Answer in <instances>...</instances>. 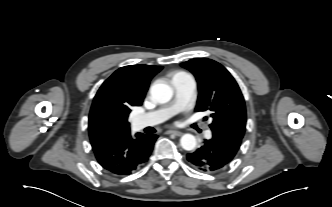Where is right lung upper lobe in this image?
I'll return each mask as SVG.
<instances>
[{
  "instance_id": "1",
  "label": "right lung upper lobe",
  "mask_w": 332,
  "mask_h": 207,
  "mask_svg": "<svg viewBox=\"0 0 332 207\" xmlns=\"http://www.w3.org/2000/svg\"><path fill=\"white\" fill-rule=\"evenodd\" d=\"M162 66L131 65L115 71L99 88L89 115L93 150L111 145L130 133L131 108L143 103L150 80Z\"/></svg>"
}]
</instances>
